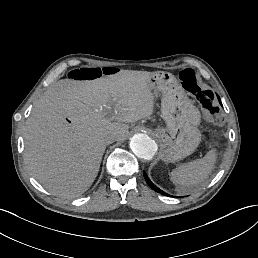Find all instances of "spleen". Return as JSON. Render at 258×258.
Wrapping results in <instances>:
<instances>
[{
    "instance_id": "3e777b00",
    "label": "spleen",
    "mask_w": 258,
    "mask_h": 258,
    "mask_svg": "<svg viewBox=\"0 0 258 258\" xmlns=\"http://www.w3.org/2000/svg\"><path fill=\"white\" fill-rule=\"evenodd\" d=\"M216 157L217 152L212 148L205 156L177 166L171 172V181L180 192L193 191L209 177L214 169Z\"/></svg>"
}]
</instances>
